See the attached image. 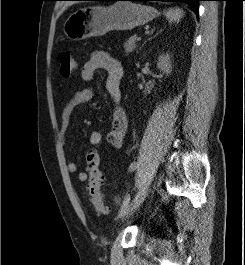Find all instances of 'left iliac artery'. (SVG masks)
<instances>
[{"mask_svg":"<svg viewBox=\"0 0 245 265\" xmlns=\"http://www.w3.org/2000/svg\"><path fill=\"white\" fill-rule=\"evenodd\" d=\"M137 168H138V163L137 162H132L130 164V166H129V171L132 172V171H134ZM129 201H130V196L127 195L125 197L124 201H123V204L121 206L119 215H123L127 211L128 207H129Z\"/></svg>","mask_w":245,"mask_h":265,"instance_id":"44dca946","label":"left iliac artery"}]
</instances>
